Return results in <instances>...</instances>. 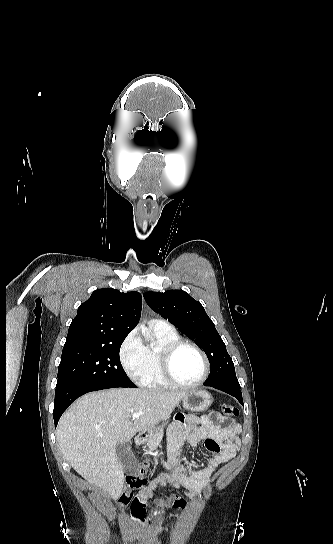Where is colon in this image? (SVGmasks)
Wrapping results in <instances>:
<instances>
[{"label":"colon","mask_w":333,"mask_h":544,"mask_svg":"<svg viewBox=\"0 0 333 544\" xmlns=\"http://www.w3.org/2000/svg\"><path fill=\"white\" fill-rule=\"evenodd\" d=\"M221 411L227 417H235L239 413L237 407L231 404H223L221 406ZM147 484V476H127L124 490L118 500L119 505L125 507L130 503H133L136 499V497H134V491L146 487Z\"/></svg>","instance_id":"5ec220e1"}]
</instances>
